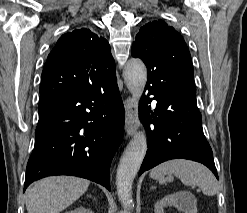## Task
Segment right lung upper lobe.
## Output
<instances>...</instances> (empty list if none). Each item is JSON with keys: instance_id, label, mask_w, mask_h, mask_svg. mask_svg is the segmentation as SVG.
<instances>
[{"instance_id": "right-lung-upper-lobe-1", "label": "right lung upper lobe", "mask_w": 247, "mask_h": 213, "mask_svg": "<svg viewBox=\"0 0 247 213\" xmlns=\"http://www.w3.org/2000/svg\"><path fill=\"white\" fill-rule=\"evenodd\" d=\"M116 76L109 43L88 28L62 35L44 65L40 101L59 92L87 88Z\"/></svg>"}]
</instances>
